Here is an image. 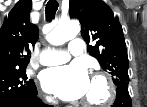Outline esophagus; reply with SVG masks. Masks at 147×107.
<instances>
[{
	"label": "esophagus",
	"mask_w": 147,
	"mask_h": 107,
	"mask_svg": "<svg viewBox=\"0 0 147 107\" xmlns=\"http://www.w3.org/2000/svg\"><path fill=\"white\" fill-rule=\"evenodd\" d=\"M59 3L61 2V0H57Z\"/></svg>",
	"instance_id": "1"
}]
</instances>
